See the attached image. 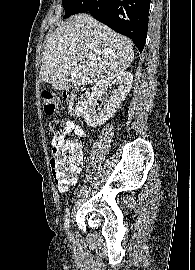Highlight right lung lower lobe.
Listing matches in <instances>:
<instances>
[{
	"label": "right lung lower lobe",
	"instance_id": "98d812e1",
	"mask_svg": "<svg viewBox=\"0 0 195 270\" xmlns=\"http://www.w3.org/2000/svg\"><path fill=\"white\" fill-rule=\"evenodd\" d=\"M151 0H82L78 13H90L116 32L132 39L142 52L147 37Z\"/></svg>",
	"mask_w": 195,
	"mask_h": 270
}]
</instances>
